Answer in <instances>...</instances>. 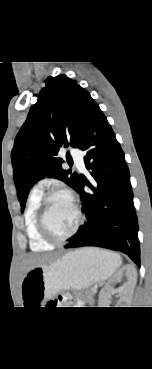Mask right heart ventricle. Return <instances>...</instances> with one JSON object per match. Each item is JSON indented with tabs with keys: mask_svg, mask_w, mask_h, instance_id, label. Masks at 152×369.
I'll return each instance as SVG.
<instances>
[{
	"mask_svg": "<svg viewBox=\"0 0 152 369\" xmlns=\"http://www.w3.org/2000/svg\"><path fill=\"white\" fill-rule=\"evenodd\" d=\"M42 199V192L39 189H33L26 202L24 213L25 230L29 240L30 248L33 251H46L52 248L53 244L46 241L38 228L37 215Z\"/></svg>",
	"mask_w": 152,
	"mask_h": 369,
	"instance_id": "right-heart-ventricle-1",
	"label": "right heart ventricle"
}]
</instances>
